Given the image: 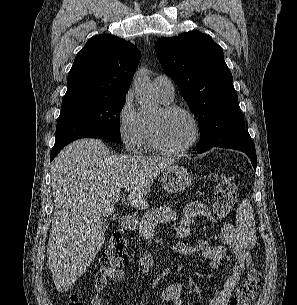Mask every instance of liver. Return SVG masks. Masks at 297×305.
<instances>
[{"label":"liver","instance_id":"obj_1","mask_svg":"<svg viewBox=\"0 0 297 305\" xmlns=\"http://www.w3.org/2000/svg\"><path fill=\"white\" fill-rule=\"evenodd\" d=\"M174 159L114 155L99 139L76 140L51 166L54 214L47 262L58 292L72 288L104 243L97 225L115 211L122 189L131 206L145 208L153 181Z\"/></svg>","mask_w":297,"mask_h":305}]
</instances>
